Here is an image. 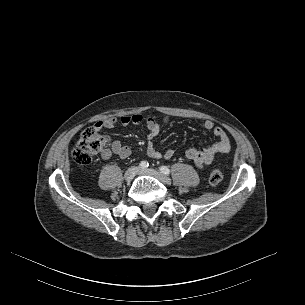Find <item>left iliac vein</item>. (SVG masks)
Listing matches in <instances>:
<instances>
[{"mask_svg": "<svg viewBox=\"0 0 305 305\" xmlns=\"http://www.w3.org/2000/svg\"><path fill=\"white\" fill-rule=\"evenodd\" d=\"M138 174L152 176L164 184L171 183V179L169 177L154 169H140Z\"/></svg>", "mask_w": 305, "mask_h": 305, "instance_id": "1", "label": "left iliac vein"}]
</instances>
